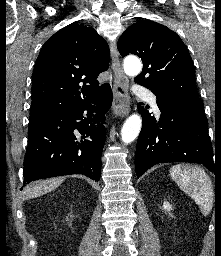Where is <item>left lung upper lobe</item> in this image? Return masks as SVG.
Returning <instances> with one entry per match:
<instances>
[{"mask_svg":"<svg viewBox=\"0 0 221 256\" xmlns=\"http://www.w3.org/2000/svg\"><path fill=\"white\" fill-rule=\"evenodd\" d=\"M118 50L123 57L135 54L142 59V73L134 81L155 95L199 99L191 56L180 37L166 26L139 21L121 35Z\"/></svg>","mask_w":221,"mask_h":256,"instance_id":"5c2ea615","label":"left lung upper lobe"}]
</instances>
